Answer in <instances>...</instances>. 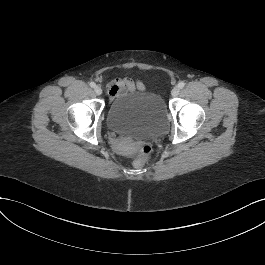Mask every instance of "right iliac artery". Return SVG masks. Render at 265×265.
I'll list each match as a JSON object with an SVG mask.
<instances>
[{"instance_id":"obj_1","label":"right iliac artery","mask_w":265,"mask_h":265,"mask_svg":"<svg viewBox=\"0 0 265 265\" xmlns=\"http://www.w3.org/2000/svg\"><path fill=\"white\" fill-rule=\"evenodd\" d=\"M90 86H91L92 88H94V87L96 86V84H95L94 82H90Z\"/></svg>"}]
</instances>
